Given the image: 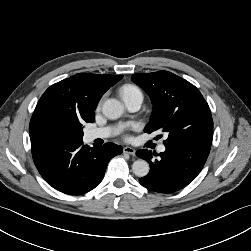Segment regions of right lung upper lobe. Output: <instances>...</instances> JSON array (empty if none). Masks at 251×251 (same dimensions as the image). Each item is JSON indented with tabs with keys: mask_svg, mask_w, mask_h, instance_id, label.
<instances>
[{
	"mask_svg": "<svg viewBox=\"0 0 251 251\" xmlns=\"http://www.w3.org/2000/svg\"><path fill=\"white\" fill-rule=\"evenodd\" d=\"M122 75L78 73L51 85L41 96L29 125L31 146L82 140L84 122H94L101 96ZM70 133L60 140L61 131Z\"/></svg>",
	"mask_w": 251,
	"mask_h": 251,
	"instance_id": "obj_1",
	"label": "right lung upper lobe"
}]
</instances>
